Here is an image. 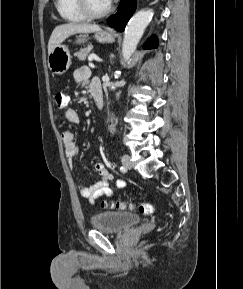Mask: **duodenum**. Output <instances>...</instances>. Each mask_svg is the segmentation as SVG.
Wrapping results in <instances>:
<instances>
[{
    "instance_id": "duodenum-1",
    "label": "duodenum",
    "mask_w": 243,
    "mask_h": 289,
    "mask_svg": "<svg viewBox=\"0 0 243 289\" xmlns=\"http://www.w3.org/2000/svg\"><path fill=\"white\" fill-rule=\"evenodd\" d=\"M92 96L94 104L97 110H102L103 108V95L101 87H96L92 90Z\"/></svg>"
}]
</instances>
